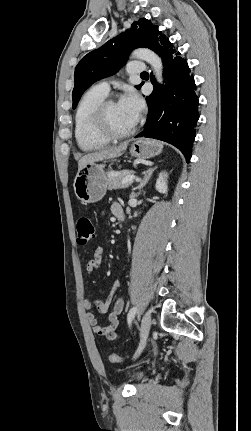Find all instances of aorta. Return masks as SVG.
Masks as SVG:
<instances>
[{
	"mask_svg": "<svg viewBox=\"0 0 251 431\" xmlns=\"http://www.w3.org/2000/svg\"><path fill=\"white\" fill-rule=\"evenodd\" d=\"M132 56L149 63L153 68L157 82L160 84L163 82V64L161 58L157 54L149 49L140 48L133 51Z\"/></svg>",
	"mask_w": 251,
	"mask_h": 431,
	"instance_id": "obj_1",
	"label": "aorta"
}]
</instances>
